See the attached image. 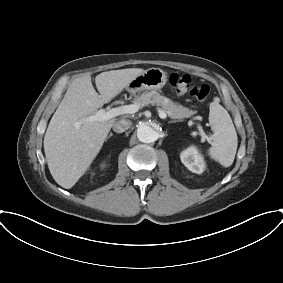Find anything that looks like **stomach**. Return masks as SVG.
Segmentation results:
<instances>
[{"instance_id": "0dacf381", "label": "stomach", "mask_w": 283, "mask_h": 283, "mask_svg": "<svg viewBox=\"0 0 283 283\" xmlns=\"http://www.w3.org/2000/svg\"><path fill=\"white\" fill-rule=\"evenodd\" d=\"M167 81V73L160 68H150L136 77L128 89L135 93L137 91H157L163 88Z\"/></svg>"}]
</instances>
